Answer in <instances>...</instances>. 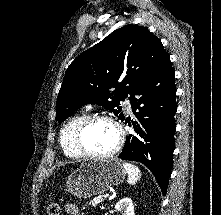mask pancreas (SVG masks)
Returning a JSON list of instances; mask_svg holds the SVG:
<instances>
[{"label": "pancreas", "mask_w": 221, "mask_h": 215, "mask_svg": "<svg viewBox=\"0 0 221 215\" xmlns=\"http://www.w3.org/2000/svg\"><path fill=\"white\" fill-rule=\"evenodd\" d=\"M105 199L103 198V196H98L93 198L90 202L89 205L96 207L97 205H99L100 203H102Z\"/></svg>", "instance_id": "obj_1"}]
</instances>
